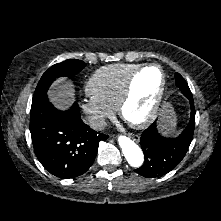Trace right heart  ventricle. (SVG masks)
I'll use <instances>...</instances> for the list:
<instances>
[{"label": "right heart ventricle", "instance_id": "1", "mask_svg": "<svg viewBox=\"0 0 221 221\" xmlns=\"http://www.w3.org/2000/svg\"><path fill=\"white\" fill-rule=\"evenodd\" d=\"M140 66L114 64L102 67L88 79L85 92L89 98L114 109L123 94L128 78Z\"/></svg>", "mask_w": 221, "mask_h": 221}]
</instances>
